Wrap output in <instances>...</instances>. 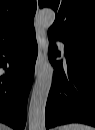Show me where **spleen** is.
I'll return each instance as SVG.
<instances>
[{"label": "spleen", "instance_id": "obj_1", "mask_svg": "<svg viewBox=\"0 0 95 130\" xmlns=\"http://www.w3.org/2000/svg\"><path fill=\"white\" fill-rule=\"evenodd\" d=\"M59 130H93V128L84 124L72 123L59 127Z\"/></svg>", "mask_w": 95, "mask_h": 130}]
</instances>
